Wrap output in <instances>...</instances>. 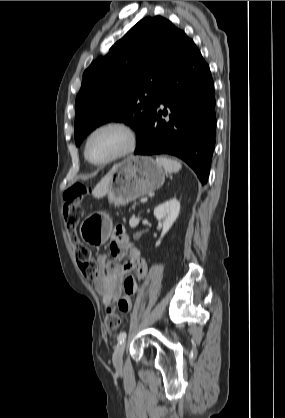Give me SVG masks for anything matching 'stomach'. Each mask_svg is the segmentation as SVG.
I'll list each match as a JSON object with an SVG mask.
<instances>
[{
	"label": "stomach",
	"instance_id": "1",
	"mask_svg": "<svg viewBox=\"0 0 285 418\" xmlns=\"http://www.w3.org/2000/svg\"><path fill=\"white\" fill-rule=\"evenodd\" d=\"M165 181L164 169L148 156H129L112 172L108 200L126 205L160 188ZM112 230V220L105 212L89 215L80 225L82 239L92 245L104 244Z\"/></svg>",
	"mask_w": 285,
	"mask_h": 418
}]
</instances>
